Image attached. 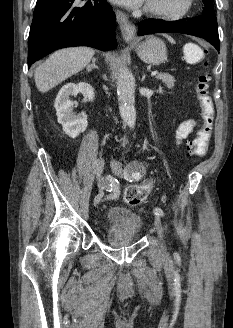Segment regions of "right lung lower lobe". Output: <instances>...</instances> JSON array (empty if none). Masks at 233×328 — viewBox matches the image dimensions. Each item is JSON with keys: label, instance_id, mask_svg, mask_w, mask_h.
Listing matches in <instances>:
<instances>
[{"label": "right lung lower lobe", "instance_id": "98d812e1", "mask_svg": "<svg viewBox=\"0 0 233 328\" xmlns=\"http://www.w3.org/2000/svg\"><path fill=\"white\" fill-rule=\"evenodd\" d=\"M115 20L106 0H37L28 39V68L59 48L115 49Z\"/></svg>", "mask_w": 233, "mask_h": 328}]
</instances>
